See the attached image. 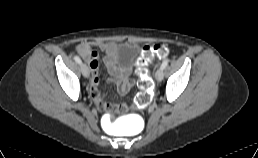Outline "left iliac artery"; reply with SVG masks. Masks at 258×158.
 <instances>
[{
    "label": "left iliac artery",
    "instance_id": "obj_1",
    "mask_svg": "<svg viewBox=\"0 0 258 158\" xmlns=\"http://www.w3.org/2000/svg\"><path fill=\"white\" fill-rule=\"evenodd\" d=\"M168 63H169V60H168V59L164 60V61L162 62V64H161V68H162V69H165V68L167 67Z\"/></svg>",
    "mask_w": 258,
    "mask_h": 158
}]
</instances>
